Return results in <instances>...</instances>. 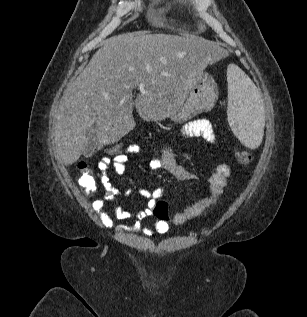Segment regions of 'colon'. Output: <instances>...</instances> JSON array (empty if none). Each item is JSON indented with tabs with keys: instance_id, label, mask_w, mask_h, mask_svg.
I'll return each mask as SVG.
<instances>
[{
	"instance_id": "1",
	"label": "colon",
	"mask_w": 307,
	"mask_h": 317,
	"mask_svg": "<svg viewBox=\"0 0 307 317\" xmlns=\"http://www.w3.org/2000/svg\"><path fill=\"white\" fill-rule=\"evenodd\" d=\"M132 145L113 144L105 149L108 157L110 158H128ZM236 159L240 165L247 166L253 161V157L250 153L245 151H238L236 153ZM80 171L79 183L86 195H93L97 190V183L93 174V171L88 167L87 163L80 161L78 163ZM153 214L160 220L166 222L169 220L168 205L165 201H158L154 208Z\"/></svg>"
}]
</instances>
